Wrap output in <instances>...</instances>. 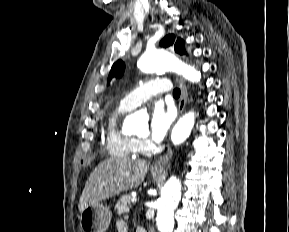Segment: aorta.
I'll use <instances>...</instances> for the list:
<instances>
[{
	"instance_id": "1",
	"label": "aorta",
	"mask_w": 289,
	"mask_h": 232,
	"mask_svg": "<svg viewBox=\"0 0 289 232\" xmlns=\"http://www.w3.org/2000/svg\"><path fill=\"white\" fill-rule=\"evenodd\" d=\"M137 65L145 73L173 71L193 83H198L201 79V73L194 67L176 60L169 52L163 49L144 53L138 60ZM194 123V112H189L182 116L171 133L173 144L179 145L184 142L189 137ZM123 129L138 134L146 133L148 131L147 120L137 113L132 114L125 119ZM180 198L181 183L176 177H171L164 185L161 197L156 203V225L159 232H172L174 228V211Z\"/></svg>"
}]
</instances>
